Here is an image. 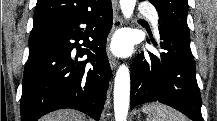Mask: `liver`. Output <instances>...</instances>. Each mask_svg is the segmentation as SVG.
I'll return each instance as SVG.
<instances>
[{"mask_svg":"<svg viewBox=\"0 0 217 121\" xmlns=\"http://www.w3.org/2000/svg\"><path fill=\"white\" fill-rule=\"evenodd\" d=\"M40 121H84V120L81 113L71 109H62L42 117Z\"/></svg>","mask_w":217,"mask_h":121,"instance_id":"obj_1","label":"liver"}]
</instances>
